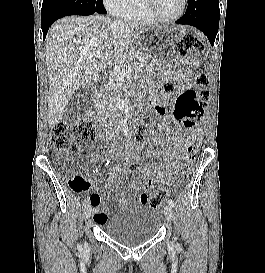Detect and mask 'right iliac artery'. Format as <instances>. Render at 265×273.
<instances>
[{"mask_svg": "<svg viewBox=\"0 0 265 273\" xmlns=\"http://www.w3.org/2000/svg\"><path fill=\"white\" fill-rule=\"evenodd\" d=\"M89 204V200L88 199H85L84 201H83V206H87Z\"/></svg>", "mask_w": 265, "mask_h": 273, "instance_id": "82829eb1", "label": "right iliac artery"}]
</instances>
